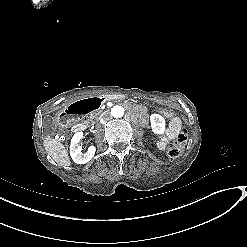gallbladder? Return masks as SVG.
Segmentation results:
<instances>
[{"mask_svg": "<svg viewBox=\"0 0 247 247\" xmlns=\"http://www.w3.org/2000/svg\"><path fill=\"white\" fill-rule=\"evenodd\" d=\"M43 123L45 127H47L46 132L50 136H54L57 134L58 131V123L55 118L50 115H47L43 119Z\"/></svg>", "mask_w": 247, "mask_h": 247, "instance_id": "1", "label": "gallbladder"}]
</instances>
